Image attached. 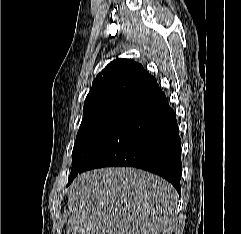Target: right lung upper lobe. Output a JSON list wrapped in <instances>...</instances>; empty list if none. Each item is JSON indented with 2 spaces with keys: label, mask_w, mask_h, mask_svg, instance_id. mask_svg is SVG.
I'll use <instances>...</instances> for the list:
<instances>
[{
  "label": "right lung upper lobe",
  "mask_w": 241,
  "mask_h": 234,
  "mask_svg": "<svg viewBox=\"0 0 241 234\" xmlns=\"http://www.w3.org/2000/svg\"><path fill=\"white\" fill-rule=\"evenodd\" d=\"M154 77L131 59H116L99 73L84 102V108L107 103L139 104L157 90Z\"/></svg>",
  "instance_id": "1"
}]
</instances>
